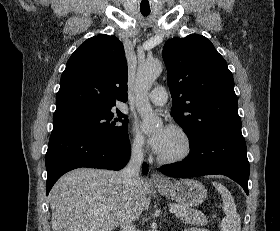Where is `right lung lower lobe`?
I'll return each mask as SVG.
<instances>
[{"instance_id": "98d812e1", "label": "right lung lower lobe", "mask_w": 280, "mask_h": 231, "mask_svg": "<svg viewBox=\"0 0 280 231\" xmlns=\"http://www.w3.org/2000/svg\"><path fill=\"white\" fill-rule=\"evenodd\" d=\"M130 157L129 137H99L81 131H52L46 153L48 195L55 182L66 172L80 168L120 170ZM142 171L147 174L144 163Z\"/></svg>"}]
</instances>
